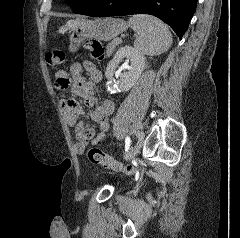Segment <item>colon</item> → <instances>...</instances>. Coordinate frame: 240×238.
I'll return each mask as SVG.
<instances>
[{
  "label": "colon",
  "instance_id": "5ec220e1",
  "mask_svg": "<svg viewBox=\"0 0 240 238\" xmlns=\"http://www.w3.org/2000/svg\"><path fill=\"white\" fill-rule=\"evenodd\" d=\"M84 48L96 59H102L104 56L103 45L98 39L86 40ZM45 60L51 66L59 65L65 60V53L62 50L55 49L46 54ZM87 156L89 161L95 164H100L105 168L121 171L127 174H133L135 172L132 166L120 163L98 148H90Z\"/></svg>",
  "mask_w": 240,
  "mask_h": 238
}]
</instances>
